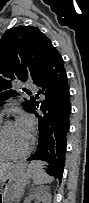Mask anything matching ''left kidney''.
<instances>
[{
    "mask_svg": "<svg viewBox=\"0 0 89 203\" xmlns=\"http://www.w3.org/2000/svg\"><path fill=\"white\" fill-rule=\"evenodd\" d=\"M51 203L50 188L48 186H38L31 189L30 195L24 203Z\"/></svg>",
    "mask_w": 89,
    "mask_h": 203,
    "instance_id": "5707ae66",
    "label": "left kidney"
}]
</instances>
